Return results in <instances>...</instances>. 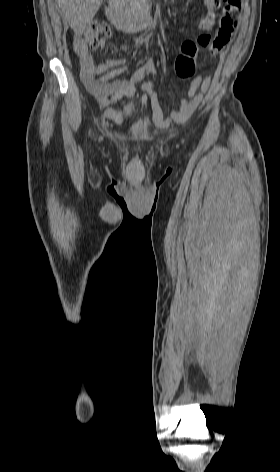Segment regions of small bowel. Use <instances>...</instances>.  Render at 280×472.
<instances>
[{"instance_id":"obj_1","label":"small bowel","mask_w":280,"mask_h":472,"mask_svg":"<svg viewBox=\"0 0 280 472\" xmlns=\"http://www.w3.org/2000/svg\"><path fill=\"white\" fill-rule=\"evenodd\" d=\"M212 0H204L208 12L201 16L199 21L200 29L204 32L197 40H186L182 44V54L178 59H188L194 62L197 55L203 50L208 49L211 55H217L223 52L226 45L234 36L236 31V22L226 24L221 21L220 27L214 37L209 32L212 30L215 22ZM106 43L105 38L99 42L103 47ZM74 49L79 57L81 71V80L90 94L94 96L97 102L104 108L105 115L118 120L121 112L114 110L111 106L119 98H130L135 92V86L138 82L142 83L143 90L151 99L154 120L160 127H166L170 121L183 122L187 120L199 104L204 95L210 88L211 77L196 76L189 88L188 96L183 99L179 106L173 109L169 117H163V111L158 97L153 90V81L156 77L157 69L152 59L146 60L143 65L136 70L128 80H114L127 72L124 59H109L103 63L96 64L93 55L90 53L87 45L81 41H74Z\"/></svg>"}]
</instances>
